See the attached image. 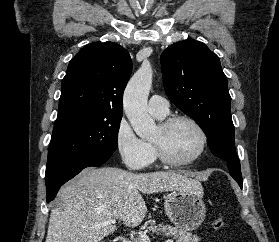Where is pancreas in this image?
Returning a JSON list of instances; mask_svg holds the SVG:
<instances>
[{"mask_svg": "<svg viewBox=\"0 0 279 242\" xmlns=\"http://www.w3.org/2000/svg\"><path fill=\"white\" fill-rule=\"evenodd\" d=\"M153 232L160 233L166 237H173L176 242H199L200 238L197 235L179 229L177 227H172L168 224H159L150 229ZM130 242H144L141 238H134Z\"/></svg>", "mask_w": 279, "mask_h": 242, "instance_id": "cf45deb5", "label": "pancreas"}]
</instances>
